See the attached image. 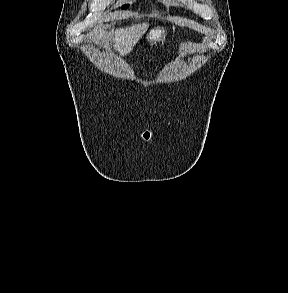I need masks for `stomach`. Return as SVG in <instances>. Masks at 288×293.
<instances>
[{
  "label": "stomach",
  "instance_id": "stomach-1",
  "mask_svg": "<svg viewBox=\"0 0 288 293\" xmlns=\"http://www.w3.org/2000/svg\"><path fill=\"white\" fill-rule=\"evenodd\" d=\"M167 31L164 27L156 26L152 28L147 34V41L149 43L156 44L157 42L164 41Z\"/></svg>",
  "mask_w": 288,
  "mask_h": 293
}]
</instances>
